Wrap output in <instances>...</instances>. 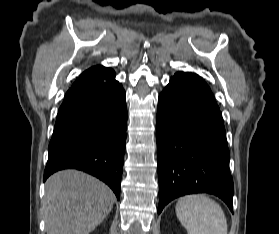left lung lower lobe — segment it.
Segmentation results:
<instances>
[{"label":"left lung lower lobe","instance_id":"1","mask_svg":"<svg viewBox=\"0 0 279 234\" xmlns=\"http://www.w3.org/2000/svg\"><path fill=\"white\" fill-rule=\"evenodd\" d=\"M158 213L174 198L211 193L233 212V180L222 114L206 82L178 72L158 99Z\"/></svg>","mask_w":279,"mask_h":234}]
</instances>
